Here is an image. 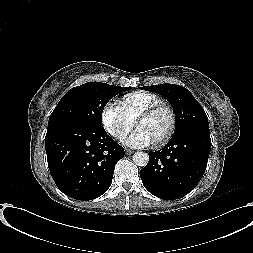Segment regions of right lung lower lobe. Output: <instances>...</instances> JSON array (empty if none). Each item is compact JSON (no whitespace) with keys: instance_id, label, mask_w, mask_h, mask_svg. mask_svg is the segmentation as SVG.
Here are the masks:
<instances>
[{"instance_id":"obj_1","label":"right lung lower lobe","mask_w":253,"mask_h":253,"mask_svg":"<svg viewBox=\"0 0 253 253\" xmlns=\"http://www.w3.org/2000/svg\"><path fill=\"white\" fill-rule=\"evenodd\" d=\"M45 148L55 184L77 200L104 194L112 183L116 163L124 157V149L104 128L79 122L48 126Z\"/></svg>"}]
</instances>
